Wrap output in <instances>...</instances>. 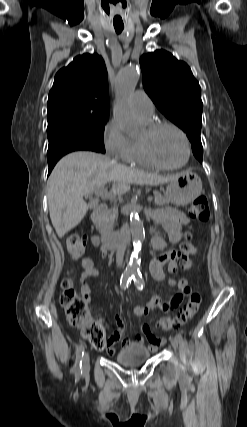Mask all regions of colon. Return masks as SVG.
Here are the masks:
<instances>
[{
	"instance_id": "colon-1",
	"label": "colon",
	"mask_w": 247,
	"mask_h": 427,
	"mask_svg": "<svg viewBox=\"0 0 247 427\" xmlns=\"http://www.w3.org/2000/svg\"><path fill=\"white\" fill-rule=\"evenodd\" d=\"M189 215L193 219L206 222L210 218V209L208 200L204 196L196 198L189 210ZM86 248L85 238L79 235L71 236L67 241V252L71 260H78ZM196 252L191 235L186 237L181 247L179 260L184 269L191 268V256ZM62 294L60 304L63 308L68 322L79 329L82 336L87 339L93 348L104 350L108 346L104 327L97 321L91 319L87 306V301L80 296L70 278L62 281ZM202 303V297L199 292L191 294L185 307L172 317H165L158 321V325L165 331H172L184 326L198 312Z\"/></svg>"
}]
</instances>
